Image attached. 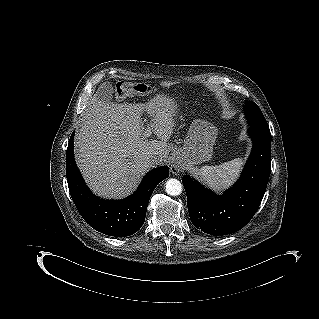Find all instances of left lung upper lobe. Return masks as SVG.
<instances>
[{"instance_id": "1", "label": "left lung upper lobe", "mask_w": 319, "mask_h": 319, "mask_svg": "<svg viewBox=\"0 0 319 319\" xmlns=\"http://www.w3.org/2000/svg\"><path fill=\"white\" fill-rule=\"evenodd\" d=\"M244 112L250 126L269 128L261 110L255 102L246 101Z\"/></svg>"}]
</instances>
